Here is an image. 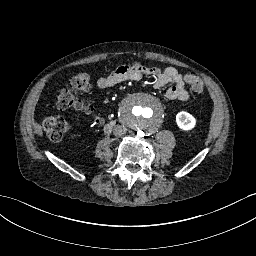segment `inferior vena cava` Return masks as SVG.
Returning <instances> with one entry per match:
<instances>
[{
  "instance_id": "obj_1",
  "label": "inferior vena cava",
  "mask_w": 256,
  "mask_h": 256,
  "mask_svg": "<svg viewBox=\"0 0 256 256\" xmlns=\"http://www.w3.org/2000/svg\"><path fill=\"white\" fill-rule=\"evenodd\" d=\"M127 130L125 127L121 125L114 126L113 133L116 136H124L126 134Z\"/></svg>"
}]
</instances>
